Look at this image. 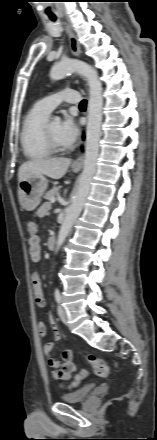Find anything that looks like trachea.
I'll return each instance as SVG.
<instances>
[{
  "instance_id": "1",
  "label": "trachea",
  "mask_w": 157,
  "mask_h": 440,
  "mask_svg": "<svg viewBox=\"0 0 157 440\" xmlns=\"http://www.w3.org/2000/svg\"><path fill=\"white\" fill-rule=\"evenodd\" d=\"M52 21H55V18H52ZM87 106V101L86 100H82L79 107L80 108H86Z\"/></svg>"
}]
</instances>
